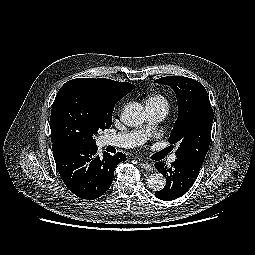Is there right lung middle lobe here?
<instances>
[{
  "label": "right lung middle lobe",
  "instance_id": "dd1d6c3e",
  "mask_svg": "<svg viewBox=\"0 0 255 255\" xmlns=\"http://www.w3.org/2000/svg\"><path fill=\"white\" fill-rule=\"evenodd\" d=\"M113 109L87 86L61 88L51 109V142L96 145L98 131L111 126Z\"/></svg>",
  "mask_w": 255,
  "mask_h": 255
}]
</instances>
